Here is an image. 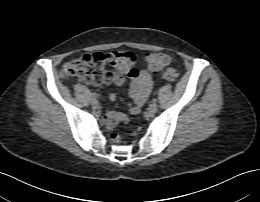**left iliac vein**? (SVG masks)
I'll return each instance as SVG.
<instances>
[{
  "instance_id": "obj_1",
  "label": "left iliac vein",
  "mask_w": 260,
  "mask_h": 202,
  "mask_svg": "<svg viewBox=\"0 0 260 202\" xmlns=\"http://www.w3.org/2000/svg\"><path fill=\"white\" fill-rule=\"evenodd\" d=\"M157 110H158V105H157L156 103H152V104H150L149 107H148V111H149L150 113H156Z\"/></svg>"
}]
</instances>
